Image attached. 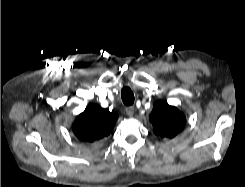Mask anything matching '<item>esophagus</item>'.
<instances>
[{
	"mask_svg": "<svg viewBox=\"0 0 245 187\" xmlns=\"http://www.w3.org/2000/svg\"><path fill=\"white\" fill-rule=\"evenodd\" d=\"M134 112H135V108L133 107V106H130V107H127L126 108V114L128 115V116H133L134 115Z\"/></svg>",
	"mask_w": 245,
	"mask_h": 187,
	"instance_id": "1",
	"label": "esophagus"
}]
</instances>
